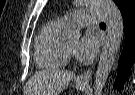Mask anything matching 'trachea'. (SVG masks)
Returning <instances> with one entry per match:
<instances>
[{
  "instance_id": "obj_1",
  "label": "trachea",
  "mask_w": 135,
  "mask_h": 95,
  "mask_svg": "<svg viewBox=\"0 0 135 95\" xmlns=\"http://www.w3.org/2000/svg\"><path fill=\"white\" fill-rule=\"evenodd\" d=\"M100 25H101V26H105L106 24L102 22V23H100Z\"/></svg>"
}]
</instances>
